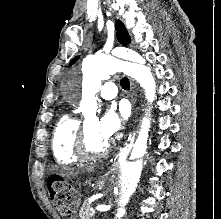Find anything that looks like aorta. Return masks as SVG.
Returning a JSON list of instances; mask_svg holds the SVG:
<instances>
[{
    "label": "aorta",
    "mask_w": 221,
    "mask_h": 219,
    "mask_svg": "<svg viewBox=\"0 0 221 219\" xmlns=\"http://www.w3.org/2000/svg\"><path fill=\"white\" fill-rule=\"evenodd\" d=\"M121 60L144 64L143 58L133 50L120 48L112 55L97 54L83 60L82 70L90 79L91 87L83 96L80 109L85 117H93L96 112L95 94L101 88V80L108 79L121 65ZM146 144L141 142L129 155L126 151L118 159L114 171V200L118 205L116 218L121 219L126 212V205L134 194L142 172Z\"/></svg>",
    "instance_id": "1"
}]
</instances>
